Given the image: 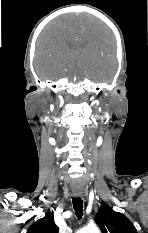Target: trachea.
<instances>
[{
    "instance_id": "3493384b",
    "label": "trachea",
    "mask_w": 148,
    "mask_h": 233,
    "mask_svg": "<svg viewBox=\"0 0 148 233\" xmlns=\"http://www.w3.org/2000/svg\"><path fill=\"white\" fill-rule=\"evenodd\" d=\"M73 208L78 219H81L83 215V201L80 197L72 198Z\"/></svg>"
}]
</instances>
